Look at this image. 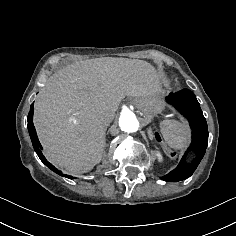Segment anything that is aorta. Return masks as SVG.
I'll return each mask as SVG.
<instances>
[{
  "label": "aorta",
  "instance_id": "aorta-1",
  "mask_svg": "<svg viewBox=\"0 0 236 236\" xmlns=\"http://www.w3.org/2000/svg\"><path fill=\"white\" fill-rule=\"evenodd\" d=\"M119 127L124 132L133 133L138 130L139 121L137 120L136 115L132 111L125 110L121 113L119 117Z\"/></svg>",
  "mask_w": 236,
  "mask_h": 236
}]
</instances>
